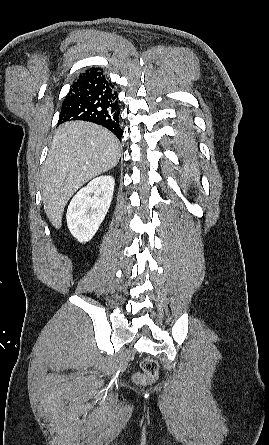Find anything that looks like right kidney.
<instances>
[{
  "label": "right kidney",
  "instance_id": "ca27d5eb",
  "mask_svg": "<svg viewBox=\"0 0 269 445\" xmlns=\"http://www.w3.org/2000/svg\"><path fill=\"white\" fill-rule=\"evenodd\" d=\"M115 180L100 176L90 181L71 200L66 214L71 234L81 243L90 241L110 207Z\"/></svg>",
  "mask_w": 269,
  "mask_h": 445
}]
</instances>
